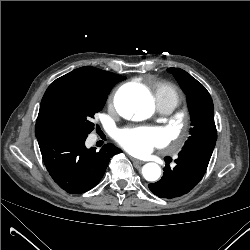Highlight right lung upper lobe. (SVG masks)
<instances>
[{
	"label": "right lung upper lobe",
	"mask_w": 250,
	"mask_h": 250,
	"mask_svg": "<svg viewBox=\"0 0 250 250\" xmlns=\"http://www.w3.org/2000/svg\"><path fill=\"white\" fill-rule=\"evenodd\" d=\"M122 77L123 76L94 67H81L56 79L48 87L42 98L35 127L36 137L44 134L55 133L50 124V108L52 98L60 88L69 84H87L91 86H99Z\"/></svg>",
	"instance_id": "right-lung-upper-lobe-1"
}]
</instances>
